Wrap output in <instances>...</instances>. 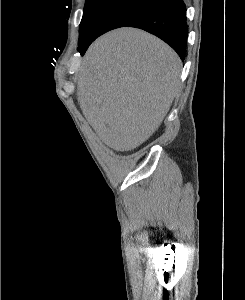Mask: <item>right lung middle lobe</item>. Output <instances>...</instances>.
<instances>
[{
	"mask_svg": "<svg viewBox=\"0 0 245 300\" xmlns=\"http://www.w3.org/2000/svg\"><path fill=\"white\" fill-rule=\"evenodd\" d=\"M157 3L156 0H86L78 46H88L105 32L125 26Z\"/></svg>",
	"mask_w": 245,
	"mask_h": 300,
	"instance_id": "dd1d6c3e",
	"label": "right lung middle lobe"
}]
</instances>
